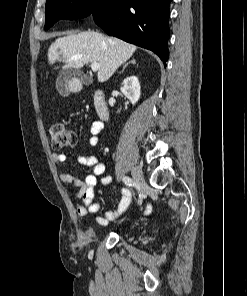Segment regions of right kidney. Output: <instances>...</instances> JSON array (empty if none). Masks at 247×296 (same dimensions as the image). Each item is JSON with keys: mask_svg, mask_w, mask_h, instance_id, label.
Instances as JSON below:
<instances>
[{"mask_svg": "<svg viewBox=\"0 0 247 296\" xmlns=\"http://www.w3.org/2000/svg\"><path fill=\"white\" fill-rule=\"evenodd\" d=\"M121 92L134 105L140 98V83L136 76H130L123 80Z\"/></svg>", "mask_w": 247, "mask_h": 296, "instance_id": "obj_1", "label": "right kidney"}]
</instances>
